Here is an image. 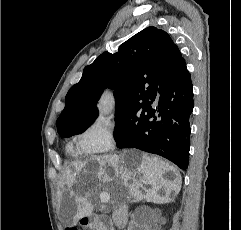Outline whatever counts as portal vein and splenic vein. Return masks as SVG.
Masks as SVG:
<instances>
[{
	"instance_id": "18ae733b",
	"label": "portal vein and splenic vein",
	"mask_w": 241,
	"mask_h": 230,
	"mask_svg": "<svg viewBox=\"0 0 241 230\" xmlns=\"http://www.w3.org/2000/svg\"><path fill=\"white\" fill-rule=\"evenodd\" d=\"M100 200L102 203H106L110 200V195L108 193H101Z\"/></svg>"
}]
</instances>
